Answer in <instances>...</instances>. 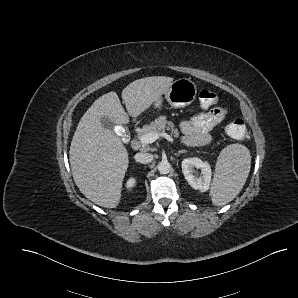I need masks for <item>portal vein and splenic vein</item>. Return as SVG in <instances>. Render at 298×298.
<instances>
[{"mask_svg": "<svg viewBox=\"0 0 298 298\" xmlns=\"http://www.w3.org/2000/svg\"><path fill=\"white\" fill-rule=\"evenodd\" d=\"M160 138H165L168 141H172V137L166 132H149L145 135L140 136V140L144 144H151L159 140Z\"/></svg>", "mask_w": 298, "mask_h": 298, "instance_id": "1", "label": "portal vein and splenic vein"}]
</instances>
